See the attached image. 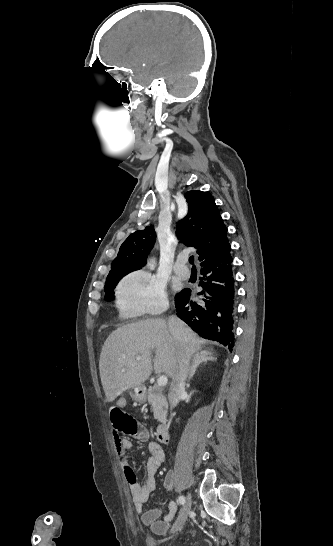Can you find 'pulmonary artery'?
Listing matches in <instances>:
<instances>
[{
  "instance_id": "1",
  "label": "pulmonary artery",
  "mask_w": 333,
  "mask_h": 546,
  "mask_svg": "<svg viewBox=\"0 0 333 546\" xmlns=\"http://www.w3.org/2000/svg\"><path fill=\"white\" fill-rule=\"evenodd\" d=\"M187 258L179 257L174 265V272L182 279H188L191 275L189 268L186 266Z\"/></svg>"
}]
</instances>
